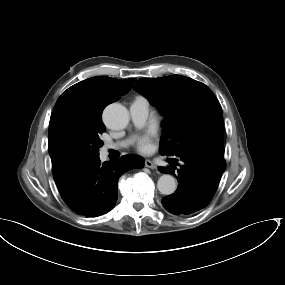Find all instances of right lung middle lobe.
Segmentation results:
<instances>
[{
	"mask_svg": "<svg viewBox=\"0 0 285 285\" xmlns=\"http://www.w3.org/2000/svg\"><path fill=\"white\" fill-rule=\"evenodd\" d=\"M101 109L89 104L64 100L56 102L51 114L48 149L59 170H70L99 157L106 130Z\"/></svg>",
	"mask_w": 285,
	"mask_h": 285,
	"instance_id": "1",
	"label": "right lung middle lobe"
}]
</instances>
